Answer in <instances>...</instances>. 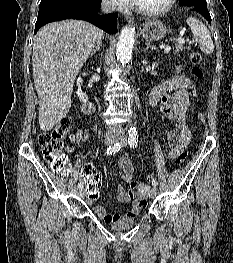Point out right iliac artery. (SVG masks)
I'll list each match as a JSON object with an SVG mask.
<instances>
[{
  "instance_id": "1",
  "label": "right iliac artery",
  "mask_w": 233,
  "mask_h": 263,
  "mask_svg": "<svg viewBox=\"0 0 233 263\" xmlns=\"http://www.w3.org/2000/svg\"><path fill=\"white\" fill-rule=\"evenodd\" d=\"M121 147H122V145H121L120 143H115V144L109 146V147L106 149V152H105V153H106L107 155L115 154L116 152H118V151L121 149ZM82 187H83V183L80 182V183L78 184V188L80 189V188H82Z\"/></svg>"
}]
</instances>
